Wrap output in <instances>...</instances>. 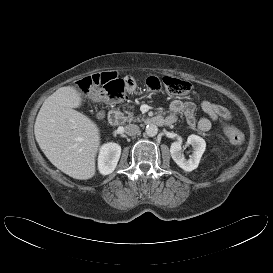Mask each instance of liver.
Returning <instances> with one entry per match:
<instances>
[{"label": "liver", "instance_id": "liver-1", "mask_svg": "<svg viewBox=\"0 0 273 273\" xmlns=\"http://www.w3.org/2000/svg\"><path fill=\"white\" fill-rule=\"evenodd\" d=\"M81 93L73 86L56 90L43 103L34 125L36 141L48 160L65 174L79 180L96 173L100 130L86 115L76 111Z\"/></svg>", "mask_w": 273, "mask_h": 273}]
</instances>
